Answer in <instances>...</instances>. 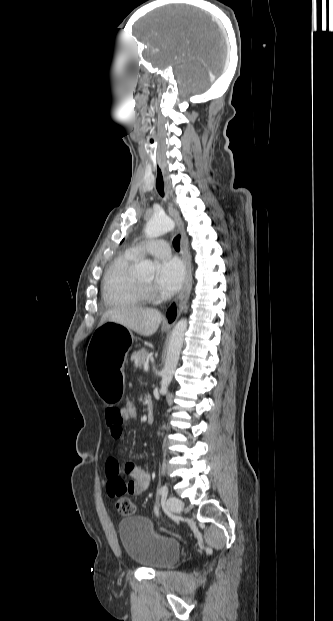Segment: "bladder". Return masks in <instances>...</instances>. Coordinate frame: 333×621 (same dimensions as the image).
Returning a JSON list of instances; mask_svg holds the SVG:
<instances>
[{
	"instance_id": "obj_1",
	"label": "bladder",
	"mask_w": 333,
	"mask_h": 621,
	"mask_svg": "<svg viewBox=\"0 0 333 621\" xmlns=\"http://www.w3.org/2000/svg\"><path fill=\"white\" fill-rule=\"evenodd\" d=\"M120 543L133 562L154 570L174 564L180 556L179 543L156 532L153 523L141 516L119 521Z\"/></svg>"
}]
</instances>
